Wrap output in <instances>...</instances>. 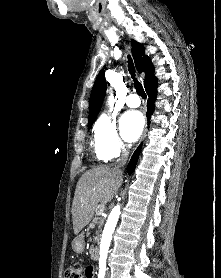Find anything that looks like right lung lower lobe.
<instances>
[{
    "instance_id": "obj_1",
    "label": "right lung lower lobe",
    "mask_w": 221,
    "mask_h": 278,
    "mask_svg": "<svg viewBox=\"0 0 221 278\" xmlns=\"http://www.w3.org/2000/svg\"><path fill=\"white\" fill-rule=\"evenodd\" d=\"M157 79H153L146 87H145V90H146V93L149 97L148 99V102H147V113H146V116H147V119H148V122L150 123V118H151V115L154 111V100L156 98V93H157ZM140 149H141V145L137 148V150L134 152L132 158H131V161L128 165V174H131L136 166V163H137V160H138V157H139V153H140Z\"/></svg>"
}]
</instances>
